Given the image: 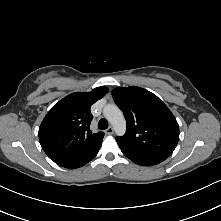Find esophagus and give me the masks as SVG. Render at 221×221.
<instances>
[{
    "label": "esophagus",
    "instance_id": "1",
    "mask_svg": "<svg viewBox=\"0 0 221 221\" xmlns=\"http://www.w3.org/2000/svg\"><path fill=\"white\" fill-rule=\"evenodd\" d=\"M105 133H106L107 135H112V134L114 133L113 127L110 126L109 128H107L106 131H105Z\"/></svg>",
    "mask_w": 221,
    "mask_h": 221
}]
</instances>
